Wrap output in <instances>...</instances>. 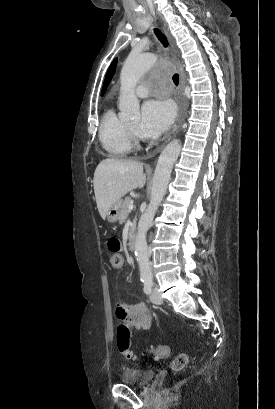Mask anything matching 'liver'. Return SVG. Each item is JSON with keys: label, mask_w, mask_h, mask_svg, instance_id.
<instances>
[{"label": "liver", "mask_w": 275, "mask_h": 409, "mask_svg": "<svg viewBox=\"0 0 275 409\" xmlns=\"http://www.w3.org/2000/svg\"><path fill=\"white\" fill-rule=\"evenodd\" d=\"M143 162L105 158L99 162L93 178L98 211L106 219L109 207L129 190L142 188L146 182Z\"/></svg>", "instance_id": "liver-1"}]
</instances>
